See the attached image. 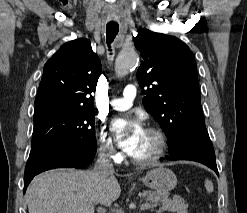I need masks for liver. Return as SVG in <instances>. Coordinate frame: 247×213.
I'll return each instance as SVG.
<instances>
[{
    "label": "liver",
    "mask_w": 247,
    "mask_h": 213,
    "mask_svg": "<svg viewBox=\"0 0 247 213\" xmlns=\"http://www.w3.org/2000/svg\"><path fill=\"white\" fill-rule=\"evenodd\" d=\"M113 174L95 170H50L36 176L26 193L29 213H94L96 205L109 206L119 198Z\"/></svg>",
    "instance_id": "1"
}]
</instances>
